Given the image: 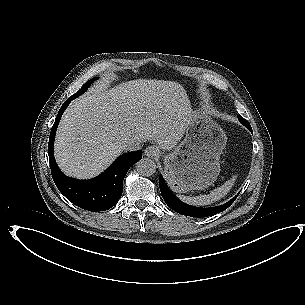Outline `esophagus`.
<instances>
[{
  "instance_id": "esophagus-1",
  "label": "esophagus",
  "mask_w": 305,
  "mask_h": 305,
  "mask_svg": "<svg viewBox=\"0 0 305 305\" xmlns=\"http://www.w3.org/2000/svg\"><path fill=\"white\" fill-rule=\"evenodd\" d=\"M144 154L147 157L155 158L160 155V150L157 146H149L144 150Z\"/></svg>"
}]
</instances>
